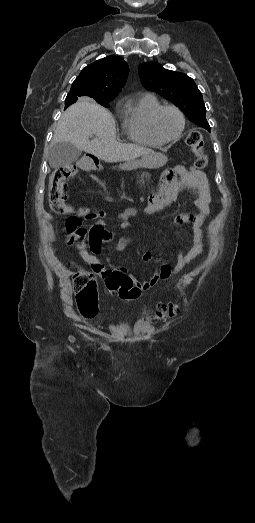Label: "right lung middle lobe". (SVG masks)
Segmentation results:
<instances>
[{
	"mask_svg": "<svg viewBox=\"0 0 255 523\" xmlns=\"http://www.w3.org/2000/svg\"><path fill=\"white\" fill-rule=\"evenodd\" d=\"M97 103L101 104L104 107H110V104H109L110 101H101V102H97Z\"/></svg>",
	"mask_w": 255,
	"mask_h": 523,
	"instance_id": "dd1d6c3e",
	"label": "right lung middle lobe"
}]
</instances>
